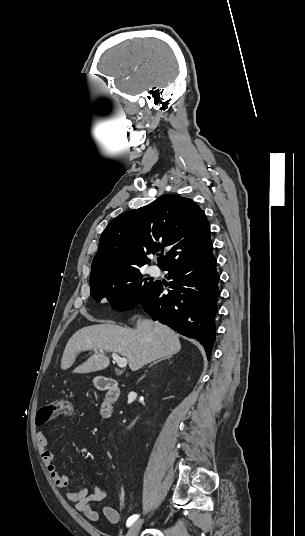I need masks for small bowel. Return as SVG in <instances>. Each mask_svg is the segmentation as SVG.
I'll list each match as a JSON object with an SVG mask.
<instances>
[{"label":"small bowel","mask_w":305,"mask_h":536,"mask_svg":"<svg viewBox=\"0 0 305 536\" xmlns=\"http://www.w3.org/2000/svg\"><path fill=\"white\" fill-rule=\"evenodd\" d=\"M36 443L41 458L46 466L47 472L59 488H66L69 480L67 475L62 474L56 464L55 456L48 448V439L46 435H36ZM106 496V489L103 484L97 483L93 493L89 494L87 487H81L77 491H67L66 498L72 502L76 509L90 520L96 521L99 518L98 513L93 509L95 503H100ZM102 512L107 520L112 524H117L120 520L119 512L109 505L102 507Z\"/></svg>","instance_id":"small-bowel-1"}]
</instances>
